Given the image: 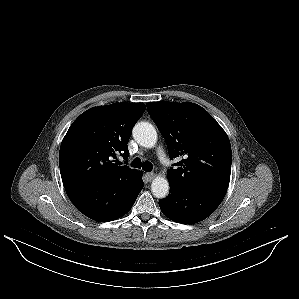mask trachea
Instances as JSON below:
<instances>
[{"mask_svg": "<svg viewBox=\"0 0 299 299\" xmlns=\"http://www.w3.org/2000/svg\"><path fill=\"white\" fill-rule=\"evenodd\" d=\"M131 166L134 168H142L144 171L150 172L152 171L153 165L148 162H142L140 158H135L132 163Z\"/></svg>", "mask_w": 299, "mask_h": 299, "instance_id": "trachea-1", "label": "trachea"}]
</instances>
